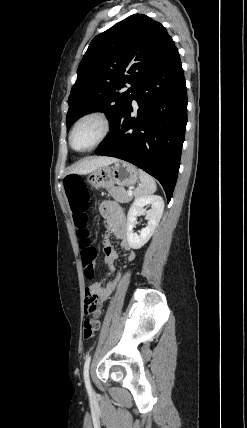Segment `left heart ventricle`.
<instances>
[{"instance_id": "b2bd125f", "label": "left heart ventricle", "mask_w": 247, "mask_h": 428, "mask_svg": "<svg viewBox=\"0 0 247 428\" xmlns=\"http://www.w3.org/2000/svg\"><path fill=\"white\" fill-rule=\"evenodd\" d=\"M101 123L96 119H88L82 122L73 135V144L78 149L91 146L100 136Z\"/></svg>"}]
</instances>
